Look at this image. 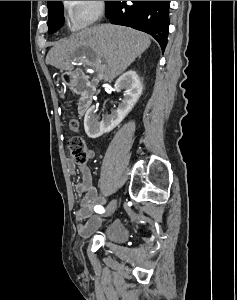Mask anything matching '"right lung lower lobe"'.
Segmentation results:
<instances>
[{"mask_svg": "<svg viewBox=\"0 0 237 300\" xmlns=\"http://www.w3.org/2000/svg\"><path fill=\"white\" fill-rule=\"evenodd\" d=\"M169 2L106 1L105 15L112 24L151 34L164 51L168 40Z\"/></svg>", "mask_w": 237, "mask_h": 300, "instance_id": "98d812e1", "label": "right lung lower lobe"}]
</instances>
